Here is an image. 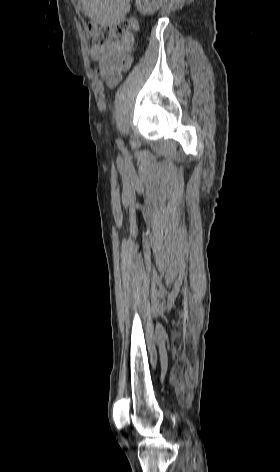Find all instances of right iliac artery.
I'll return each mask as SVG.
<instances>
[{
    "mask_svg": "<svg viewBox=\"0 0 280 472\" xmlns=\"http://www.w3.org/2000/svg\"><path fill=\"white\" fill-rule=\"evenodd\" d=\"M117 144H118V146H119L120 148H122V147H123V143H122V141H121V140H117Z\"/></svg>",
    "mask_w": 280,
    "mask_h": 472,
    "instance_id": "obj_1",
    "label": "right iliac artery"
}]
</instances>
